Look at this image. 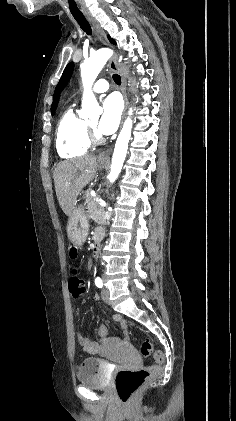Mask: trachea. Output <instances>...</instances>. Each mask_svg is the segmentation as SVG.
Segmentation results:
<instances>
[{
	"instance_id": "trachea-1",
	"label": "trachea",
	"mask_w": 236,
	"mask_h": 421,
	"mask_svg": "<svg viewBox=\"0 0 236 421\" xmlns=\"http://www.w3.org/2000/svg\"><path fill=\"white\" fill-rule=\"evenodd\" d=\"M75 20L78 22V24L80 25V27L82 28V30L84 32H86V34H88V36H92V29L91 26L89 25L88 21L86 20V18L83 15H73ZM113 80L117 85H121V77L117 74H113Z\"/></svg>"
}]
</instances>
